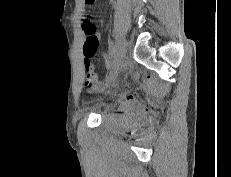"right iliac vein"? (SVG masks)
<instances>
[{"instance_id":"right-iliac-vein-1","label":"right iliac vein","mask_w":231,"mask_h":177,"mask_svg":"<svg viewBox=\"0 0 231 177\" xmlns=\"http://www.w3.org/2000/svg\"><path fill=\"white\" fill-rule=\"evenodd\" d=\"M125 42L123 39H118L116 46H115V60H114V67L110 74V79L116 77L123 65V60L125 56Z\"/></svg>"}]
</instances>
